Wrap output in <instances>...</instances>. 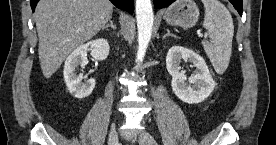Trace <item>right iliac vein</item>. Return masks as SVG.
Listing matches in <instances>:
<instances>
[{"label": "right iliac vein", "mask_w": 276, "mask_h": 145, "mask_svg": "<svg viewBox=\"0 0 276 145\" xmlns=\"http://www.w3.org/2000/svg\"><path fill=\"white\" fill-rule=\"evenodd\" d=\"M118 143V135L114 125H112L109 137H108V145H117Z\"/></svg>", "instance_id": "63e3f726"}]
</instances>
